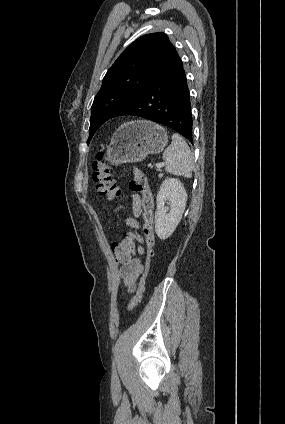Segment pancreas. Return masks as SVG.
Returning a JSON list of instances; mask_svg holds the SVG:
<instances>
[{"mask_svg":"<svg viewBox=\"0 0 285 424\" xmlns=\"http://www.w3.org/2000/svg\"><path fill=\"white\" fill-rule=\"evenodd\" d=\"M159 177H162V174H159Z\"/></svg>","mask_w":285,"mask_h":424,"instance_id":"obj_1","label":"pancreas"}]
</instances>
